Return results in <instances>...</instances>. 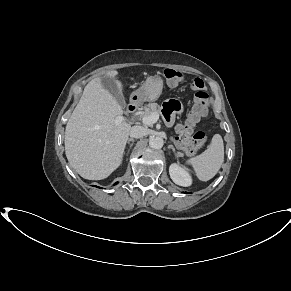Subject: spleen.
<instances>
[{
  "label": "spleen",
  "instance_id": "3e777b00",
  "mask_svg": "<svg viewBox=\"0 0 291 291\" xmlns=\"http://www.w3.org/2000/svg\"><path fill=\"white\" fill-rule=\"evenodd\" d=\"M224 161V144L219 134H215L208 148L200 155L187 161L201 181L212 179Z\"/></svg>",
  "mask_w": 291,
  "mask_h": 291
}]
</instances>
